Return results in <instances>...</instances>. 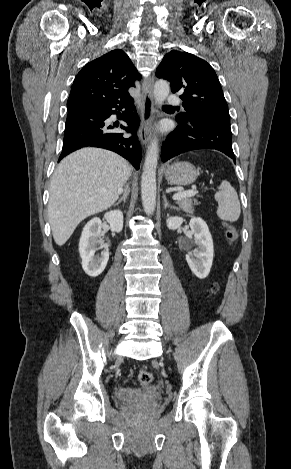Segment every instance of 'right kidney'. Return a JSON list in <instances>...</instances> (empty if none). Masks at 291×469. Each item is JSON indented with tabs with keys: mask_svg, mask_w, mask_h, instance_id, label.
Segmentation results:
<instances>
[{
	"mask_svg": "<svg viewBox=\"0 0 291 469\" xmlns=\"http://www.w3.org/2000/svg\"><path fill=\"white\" fill-rule=\"evenodd\" d=\"M113 232H121L123 228V213L120 210L107 212L104 215ZM102 222L100 218L91 219L83 228L80 242L79 253L82 259V268L90 277L99 276L105 269L109 260L108 246L104 244L101 238ZM104 248L101 255L95 253Z\"/></svg>",
	"mask_w": 291,
	"mask_h": 469,
	"instance_id": "obj_1",
	"label": "right kidney"
}]
</instances>
